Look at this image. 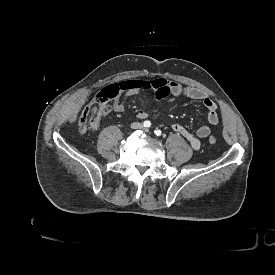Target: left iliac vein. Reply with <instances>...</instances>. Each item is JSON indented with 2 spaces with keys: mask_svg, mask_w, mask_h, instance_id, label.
<instances>
[{
  "mask_svg": "<svg viewBox=\"0 0 275 275\" xmlns=\"http://www.w3.org/2000/svg\"><path fill=\"white\" fill-rule=\"evenodd\" d=\"M145 131H146V132H148L149 130H148V129H146Z\"/></svg>",
  "mask_w": 275,
  "mask_h": 275,
  "instance_id": "1",
  "label": "left iliac vein"
}]
</instances>
